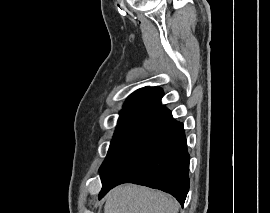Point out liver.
<instances>
[{"mask_svg": "<svg viewBox=\"0 0 270 213\" xmlns=\"http://www.w3.org/2000/svg\"><path fill=\"white\" fill-rule=\"evenodd\" d=\"M175 199L160 191L122 185L113 189L106 198L104 213H178Z\"/></svg>", "mask_w": 270, "mask_h": 213, "instance_id": "1", "label": "liver"}]
</instances>
